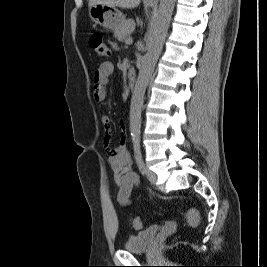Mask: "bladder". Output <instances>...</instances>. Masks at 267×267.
<instances>
[{"instance_id":"bladder-1","label":"bladder","mask_w":267,"mask_h":267,"mask_svg":"<svg viewBox=\"0 0 267 267\" xmlns=\"http://www.w3.org/2000/svg\"><path fill=\"white\" fill-rule=\"evenodd\" d=\"M159 231L160 227L154 225L130 235L124 243V249L134 253L147 251L153 244Z\"/></svg>"}]
</instances>
